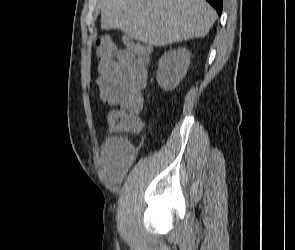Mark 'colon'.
I'll use <instances>...</instances> for the list:
<instances>
[{
	"mask_svg": "<svg viewBox=\"0 0 295 250\" xmlns=\"http://www.w3.org/2000/svg\"><path fill=\"white\" fill-rule=\"evenodd\" d=\"M96 55L99 71L104 74L113 70L119 53V48L107 36H101L96 41ZM126 49L133 54L148 51V48L140 43L129 41ZM140 110L130 105H121L107 114V123L113 130H125L137 132L143 127L139 118Z\"/></svg>",
	"mask_w": 295,
	"mask_h": 250,
	"instance_id": "1",
	"label": "colon"
}]
</instances>
